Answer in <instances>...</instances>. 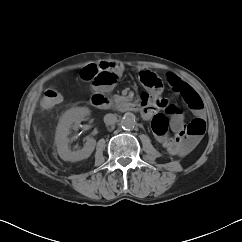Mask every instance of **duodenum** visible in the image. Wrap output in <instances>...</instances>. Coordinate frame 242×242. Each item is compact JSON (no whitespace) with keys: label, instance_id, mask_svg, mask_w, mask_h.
<instances>
[{"label":"duodenum","instance_id":"duodenum-1","mask_svg":"<svg viewBox=\"0 0 242 242\" xmlns=\"http://www.w3.org/2000/svg\"><path fill=\"white\" fill-rule=\"evenodd\" d=\"M90 100H91V104L94 107L102 110L108 109L113 105L111 100L101 90H95L91 95ZM118 108L121 111H131V112H138V113L143 112V107H141L139 104L129 102L126 100L121 101L120 104L118 105Z\"/></svg>","mask_w":242,"mask_h":242}]
</instances>
